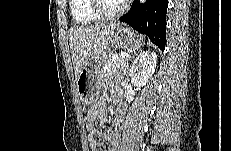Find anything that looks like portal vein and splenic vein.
<instances>
[{"mask_svg": "<svg viewBox=\"0 0 231 151\" xmlns=\"http://www.w3.org/2000/svg\"><path fill=\"white\" fill-rule=\"evenodd\" d=\"M120 56L126 58V57H128V54L123 53V54H121Z\"/></svg>", "mask_w": 231, "mask_h": 151, "instance_id": "18ae733b", "label": "portal vein and splenic vein"}]
</instances>
